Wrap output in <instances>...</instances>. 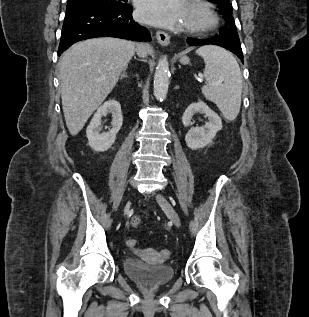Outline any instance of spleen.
I'll return each instance as SVG.
<instances>
[{
	"instance_id": "obj_1",
	"label": "spleen",
	"mask_w": 309,
	"mask_h": 317,
	"mask_svg": "<svg viewBox=\"0 0 309 317\" xmlns=\"http://www.w3.org/2000/svg\"><path fill=\"white\" fill-rule=\"evenodd\" d=\"M205 62L204 77L207 81L202 93L214 102L222 115L233 121L240 111L242 75L231 53L223 48L207 45L196 50Z\"/></svg>"
}]
</instances>
